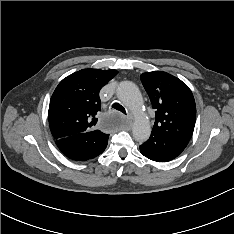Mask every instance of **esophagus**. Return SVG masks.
Returning a JSON list of instances; mask_svg holds the SVG:
<instances>
[{
  "mask_svg": "<svg viewBox=\"0 0 234 234\" xmlns=\"http://www.w3.org/2000/svg\"><path fill=\"white\" fill-rule=\"evenodd\" d=\"M128 121H129V124H131V119L129 117H127Z\"/></svg>",
  "mask_w": 234,
  "mask_h": 234,
  "instance_id": "obj_1",
  "label": "esophagus"
}]
</instances>
